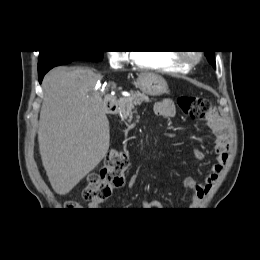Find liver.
Masks as SVG:
<instances>
[{"instance_id": "1", "label": "liver", "mask_w": 260, "mask_h": 260, "mask_svg": "<svg viewBox=\"0 0 260 260\" xmlns=\"http://www.w3.org/2000/svg\"><path fill=\"white\" fill-rule=\"evenodd\" d=\"M101 79L90 69L67 67H56L43 79L39 151L59 195L69 193L108 152L109 121L96 89Z\"/></svg>"}]
</instances>
